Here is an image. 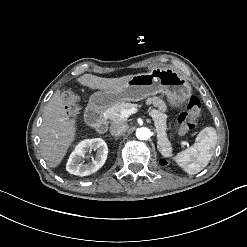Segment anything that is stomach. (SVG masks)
Segmentation results:
<instances>
[{
    "label": "stomach",
    "mask_w": 247,
    "mask_h": 247,
    "mask_svg": "<svg viewBox=\"0 0 247 247\" xmlns=\"http://www.w3.org/2000/svg\"><path fill=\"white\" fill-rule=\"evenodd\" d=\"M167 94L174 104L191 95L187 79L172 67H156L149 73L137 74L118 89H103L91 95L89 102L98 111H104L121 102H138L150 95Z\"/></svg>",
    "instance_id": "stomach-1"
}]
</instances>
